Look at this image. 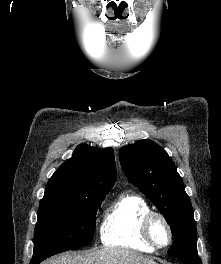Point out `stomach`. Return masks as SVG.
I'll list each match as a JSON object with an SVG mask.
<instances>
[{
  "label": "stomach",
  "mask_w": 221,
  "mask_h": 264,
  "mask_svg": "<svg viewBox=\"0 0 221 264\" xmlns=\"http://www.w3.org/2000/svg\"><path fill=\"white\" fill-rule=\"evenodd\" d=\"M147 264H158V263H156V262H152V263H147Z\"/></svg>",
  "instance_id": "1"
}]
</instances>
